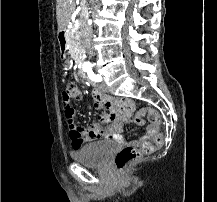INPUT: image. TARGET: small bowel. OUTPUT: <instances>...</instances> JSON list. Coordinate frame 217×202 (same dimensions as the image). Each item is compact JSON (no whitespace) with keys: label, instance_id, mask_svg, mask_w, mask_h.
I'll return each instance as SVG.
<instances>
[{"label":"small bowel","instance_id":"obj_1","mask_svg":"<svg viewBox=\"0 0 217 202\" xmlns=\"http://www.w3.org/2000/svg\"><path fill=\"white\" fill-rule=\"evenodd\" d=\"M91 95L95 109H106L107 114L101 117V121L105 125L100 127L97 124H92L87 128L73 126L70 132L71 136H67V141L81 142H71V147H83V144L92 143L102 138H112L120 144L137 146L155 137L157 129L154 125L150 124V126H146V134L141 140L127 141L120 133L122 129L120 121H132L135 118L134 109H136V104H134V101H107L109 96L96 88L91 90ZM70 98L75 100L82 98V92L77 85H71Z\"/></svg>","mask_w":217,"mask_h":202}]
</instances>
